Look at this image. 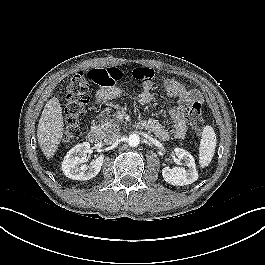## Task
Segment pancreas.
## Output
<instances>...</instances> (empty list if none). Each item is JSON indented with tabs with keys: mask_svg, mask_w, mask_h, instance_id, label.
I'll list each match as a JSON object with an SVG mask.
<instances>
[{
	"mask_svg": "<svg viewBox=\"0 0 265 265\" xmlns=\"http://www.w3.org/2000/svg\"><path fill=\"white\" fill-rule=\"evenodd\" d=\"M102 136H107L111 133H118L121 128V122L116 118L110 119L105 117L100 120V124L97 126Z\"/></svg>",
	"mask_w": 265,
	"mask_h": 265,
	"instance_id": "1",
	"label": "pancreas"
}]
</instances>
